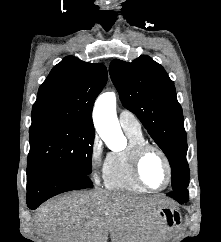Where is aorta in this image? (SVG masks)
Returning <instances> with one entry per match:
<instances>
[{
    "label": "aorta",
    "mask_w": 221,
    "mask_h": 242,
    "mask_svg": "<svg viewBox=\"0 0 221 242\" xmlns=\"http://www.w3.org/2000/svg\"><path fill=\"white\" fill-rule=\"evenodd\" d=\"M93 121L99 136L109 145L124 139L117 115L114 92L101 94L94 106Z\"/></svg>",
    "instance_id": "aorta-1"
}]
</instances>
